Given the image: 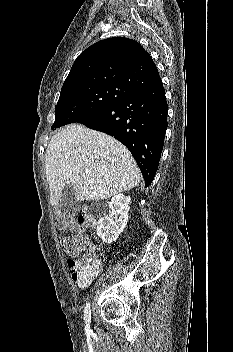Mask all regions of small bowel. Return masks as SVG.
<instances>
[{
  "mask_svg": "<svg viewBox=\"0 0 233 352\" xmlns=\"http://www.w3.org/2000/svg\"><path fill=\"white\" fill-rule=\"evenodd\" d=\"M68 265H69V267H72V260H69V261H68ZM95 277H96V276H95ZM95 277L90 278V279L87 280V281H81V280H77V279H74V280H75V282L77 283V285H78L80 288H86V287H88V286L90 285V283L92 282V280H93Z\"/></svg>",
  "mask_w": 233,
  "mask_h": 352,
  "instance_id": "1",
  "label": "small bowel"
}]
</instances>
